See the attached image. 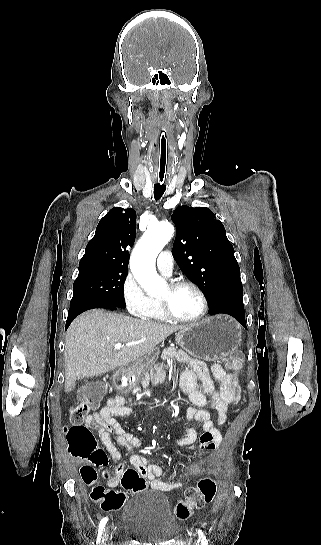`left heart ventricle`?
<instances>
[{
	"mask_svg": "<svg viewBox=\"0 0 321 545\" xmlns=\"http://www.w3.org/2000/svg\"><path fill=\"white\" fill-rule=\"evenodd\" d=\"M159 303L166 305L181 318H194L201 310L200 297L190 288L172 291L166 286Z\"/></svg>",
	"mask_w": 321,
	"mask_h": 545,
	"instance_id": "obj_1",
	"label": "left heart ventricle"
}]
</instances>
